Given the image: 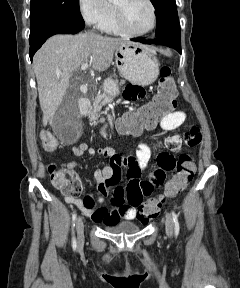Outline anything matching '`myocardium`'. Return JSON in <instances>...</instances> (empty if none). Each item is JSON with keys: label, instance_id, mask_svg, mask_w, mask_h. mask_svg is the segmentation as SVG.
Here are the masks:
<instances>
[{"label": "myocardium", "instance_id": "myocardium-1", "mask_svg": "<svg viewBox=\"0 0 240 288\" xmlns=\"http://www.w3.org/2000/svg\"><path fill=\"white\" fill-rule=\"evenodd\" d=\"M145 1L149 4L152 10V26L150 27V29L144 32H136L132 30L127 22L125 11L119 6H117L116 4H114L118 26L121 28V30L124 33L132 35V36H145V35L152 33L155 30L157 26V10H156L155 4L153 3L152 0H145Z\"/></svg>", "mask_w": 240, "mask_h": 288}]
</instances>
